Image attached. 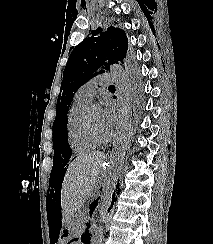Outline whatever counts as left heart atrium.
<instances>
[{
	"instance_id": "left-heart-atrium-1",
	"label": "left heart atrium",
	"mask_w": 213,
	"mask_h": 244,
	"mask_svg": "<svg viewBox=\"0 0 213 244\" xmlns=\"http://www.w3.org/2000/svg\"><path fill=\"white\" fill-rule=\"evenodd\" d=\"M116 120V111L115 106L112 102L106 101L104 104V108L101 111V121L104 128L112 133L113 127L115 125Z\"/></svg>"
}]
</instances>
